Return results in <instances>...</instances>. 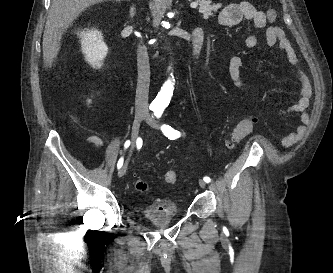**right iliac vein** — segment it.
Listing matches in <instances>:
<instances>
[{
  "label": "right iliac vein",
  "mask_w": 333,
  "mask_h": 273,
  "mask_svg": "<svg viewBox=\"0 0 333 273\" xmlns=\"http://www.w3.org/2000/svg\"><path fill=\"white\" fill-rule=\"evenodd\" d=\"M144 118H145V113H143V112H139L135 115V118H134V121L132 124V130H131L132 144H134L138 138L140 125ZM127 167H128V161L120 168V170L118 172V177L124 176V174L127 171Z\"/></svg>",
  "instance_id": "obj_1"
}]
</instances>
